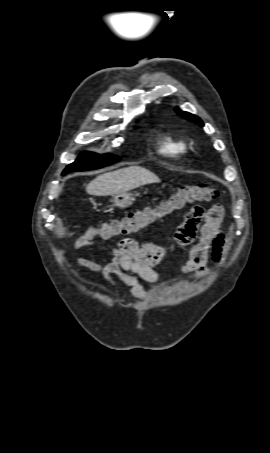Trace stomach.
I'll list each match as a JSON object with an SVG mask.
<instances>
[{"label":"stomach","mask_w":270,"mask_h":453,"mask_svg":"<svg viewBox=\"0 0 270 453\" xmlns=\"http://www.w3.org/2000/svg\"><path fill=\"white\" fill-rule=\"evenodd\" d=\"M135 201V195L130 193L117 194L113 196L112 202L114 206L119 208H128Z\"/></svg>","instance_id":"1"}]
</instances>
